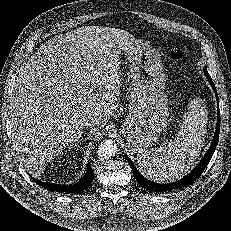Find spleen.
<instances>
[{"mask_svg":"<svg viewBox=\"0 0 231 231\" xmlns=\"http://www.w3.org/2000/svg\"><path fill=\"white\" fill-rule=\"evenodd\" d=\"M187 108L174 140H167L157 149L138 152L139 168L147 178L156 182L174 181L183 176L199 156L207 115L199 98L193 99Z\"/></svg>","mask_w":231,"mask_h":231,"instance_id":"1","label":"spleen"}]
</instances>
